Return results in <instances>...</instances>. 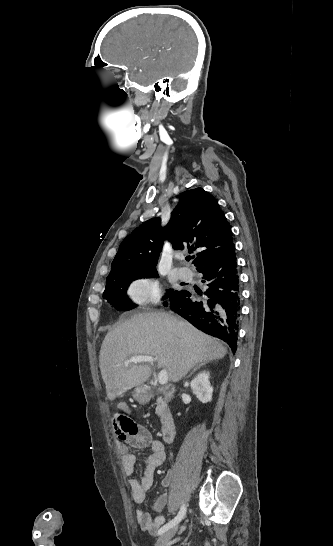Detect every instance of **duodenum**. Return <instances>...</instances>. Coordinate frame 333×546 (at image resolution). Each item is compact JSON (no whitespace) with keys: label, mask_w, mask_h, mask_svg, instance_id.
<instances>
[{"label":"duodenum","mask_w":333,"mask_h":546,"mask_svg":"<svg viewBox=\"0 0 333 546\" xmlns=\"http://www.w3.org/2000/svg\"><path fill=\"white\" fill-rule=\"evenodd\" d=\"M153 390L149 387H144L142 393L145 396H150ZM160 394L164 397L166 402L170 400L174 393V388L172 386H165L159 390ZM161 437L163 441L171 443L174 441L176 435V427L171 412L166 409L161 415Z\"/></svg>","instance_id":"410a0bca"}]
</instances>
